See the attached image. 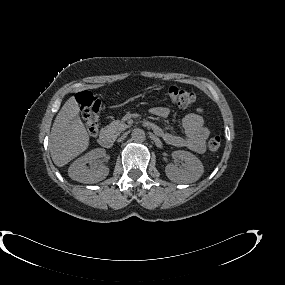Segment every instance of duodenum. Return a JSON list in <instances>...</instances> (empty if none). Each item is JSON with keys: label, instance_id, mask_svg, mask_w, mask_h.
I'll return each mask as SVG.
<instances>
[{"label": "duodenum", "instance_id": "obj_1", "mask_svg": "<svg viewBox=\"0 0 285 285\" xmlns=\"http://www.w3.org/2000/svg\"><path fill=\"white\" fill-rule=\"evenodd\" d=\"M148 126L151 127V124H148ZM98 140L100 145L105 148L111 147L113 144L112 137L109 132H101Z\"/></svg>", "mask_w": 285, "mask_h": 285}]
</instances>
